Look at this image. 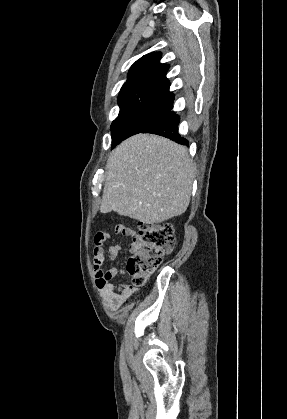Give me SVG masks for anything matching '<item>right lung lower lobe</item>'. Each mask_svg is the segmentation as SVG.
I'll return each instance as SVG.
<instances>
[{"instance_id": "right-lung-lower-lobe-1", "label": "right lung lower lobe", "mask_w": 287, "mask_h": 419, "mask_svg": "<svg viewBox=\"0 0 287 419\" xmlns=\"http://www.w3.org/2000/svg\"><path fill=\"white\" fill-rule=\"evenodd\" d=\"M172 109V108H171ZM171 109L163 116L147 125L140 133H153L169 138L179 144H188V141L178 133L180 118Z\"/></svg>"}]
</instances>
